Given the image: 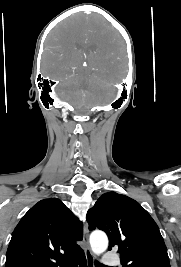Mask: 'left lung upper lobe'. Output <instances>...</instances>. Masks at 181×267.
<instances>
[{
    "label": "left lung upper lobe",
    "instance_id": "5c2ea615",
    "mask_svg": "<svg viewBox=\"0 0 181 267\" xmlns=\"http://www.w3.org/2000/svg\"><path fill=\"white\" fill-rule=\"evenodd\" d=\"M89 229L109 238L123 267H170L167 248L149 213L135 200L116 192L104 193L87 212Z\"/></svg>",
    "mask_w": 181,
    "mask_h": 267
}]
</instances>
